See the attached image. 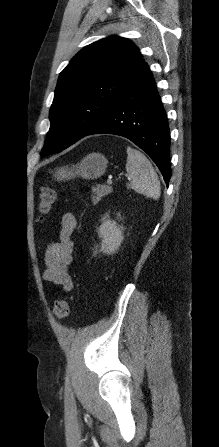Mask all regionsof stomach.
I'll return each mask as SVG.
<instances>
[{"instance_id": "stomach-1", "label": "stomach", "mask_w": 219, "mask_h": 447, "mask_svg": "<svg viewBox=\"0 0 219 447\" xmlns=\"http://www.w3.org/2000/svg\"><path fill=\"white\" fill-rule=\"evenodd\" d=\"M107 163L108 161L103 155L92 153L83 158L77 165L56 169L54 177L59 181L69 180L76 176L84 179H95L103 175L107 168Z\"/></svg>"}]
</instances>
